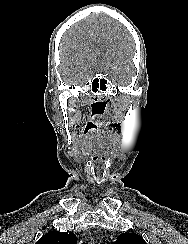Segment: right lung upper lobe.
<instances>
[{
	"instance_id": "cb5924a9",
	"label": "right lung upper lobe",
	"mask_w": 188,
	"mask_h": 244,
	"mask_svg": "<svg viewBox=\"0 0 188 244\" xmlns=\"http://www.w3.org/2000/svg\"><path fill=\"white\" fill-rule=\"evenodd\" d=\"M36 244H76V236L68 232L50 231L43 235Z\"/></svg>"
}]
</instances>
